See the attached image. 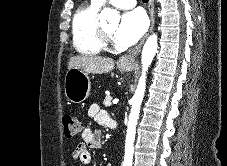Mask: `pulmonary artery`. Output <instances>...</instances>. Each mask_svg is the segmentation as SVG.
Instances as JSON below:
<instances>
[{
  "mask_svg": "<svg viewBox=\"0 0 227 166\" xmlns=\"http://www.w3.org/2000/svg\"><path fill=\"white\" fill-rule=\"evenodd\" d=\"M103 4L106 0H94ZM111 3L120 9H131L136 6L137 0H110Z\"/></svg>",
  "mask_w": 227,
  "mask_h": 166,
  "instance_id": "obj_1",
  "label": "pulmonary artery"
}]
</instances>
